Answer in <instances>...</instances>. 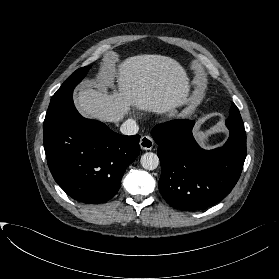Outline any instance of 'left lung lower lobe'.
I'll use <instances>...</instances> for the list:
<instances>
[{"instance_id": "0a47b994", "label": "left lung lower lobe", "mask_w": 279, "mask_h": 279, "mask_svg": "<svg viewBox=\"0 0 279 279\" xmlns=\"http://www.w3.org/2000/svg\"><path fill=\"white\" fill-rule=\"evenodd\" d=\"M226 125L229 139L214 150H204L196 143L193 121L172 120L152 129L162 170L159 190L173 208L206 209L227 196L237 183L246 157V133L244 128Z\"/></svg>"}]
</instances>
